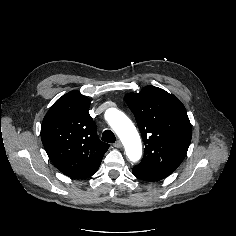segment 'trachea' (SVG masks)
<instances>
[{"mask_svg":"<svg viewBox=\"0 0 236 236\" xmlns=\"http://www.w3.org/2000/svg\"><path fill=\"white\" fill-rule=\"evenodd\" d=\"M102 140L104 142L114 143L116 141V138L111 130H105L102 134Z\"/></svg>","mask_w":236,"mask_h":236,"instance_id":"trachea-1","label":"trachea"}]
</instances>
